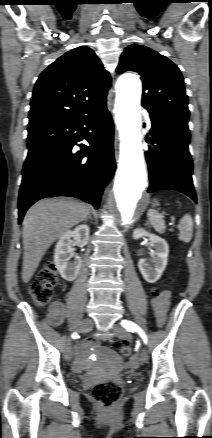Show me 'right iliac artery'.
Instances as JSON below:
<instances>
[{
  "label": "right iliac artery",
  "instance_id": "right-iliac-artery-1",
  "mask_svg": "<svg viewBox=\"0 0 212 438\" xmlns=\"http://www.w3.org/2000/svg\"><path fill=\"white\" fill-rule=\"evenodd\" d=\"M72 338H74V339H75V338H79V335H78L77 333H73V334H72Z\"/></svg>",
  "mask_w": 212,
  "mask_h": 438
}]
</instances>
